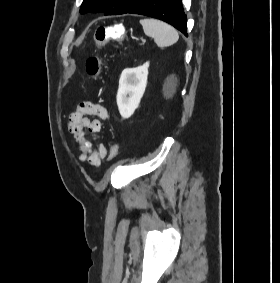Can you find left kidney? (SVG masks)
I'll return each instance as SVG.
<instances>
[{"label":"left kidney","instance_id":"left-kidney-1","mask_svg":"<svg viewBox=\"0 0 280 283\" xmlns=\"http://www.w3.org/2000/svg\"><path fill=\"white\" fill-rule=\"evenodd\" d=\"M149 62L136 68L124 69L117 92V105L120 115L127 119L138 108L146 89Z\"/></svg>","mask_w":280,"mask_h":283}]
</instances>
